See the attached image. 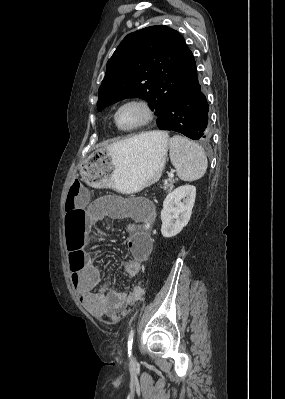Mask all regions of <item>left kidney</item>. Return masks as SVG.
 <instances>
[{"instance_id": "obj_1", "label": "left kidney", "mask_w": 285, "mask_h": 399, "mask_svg": "<svg viewBox=\"0 0 285 399\" xmlns=\"http://www.w3.org/2000/svg\"><path fill=\"white\" fill-rule=\"evenodd\" d=\"M196 197L193 185H184L169 193L161 211V233L165 238L176 236L188 224Z\"/></svg>"}]
</instances>
